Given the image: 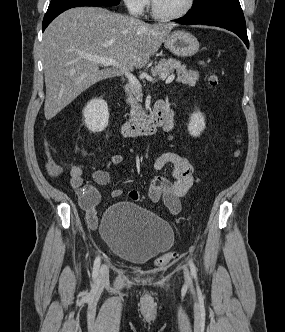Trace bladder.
Here are the masks:
<instances>
[{
    "label": "bladder",
    "instance_id": "bladder-1",
    "mask_svg": "<svg viewBox=\"0 0 285 332\" xmlns=\"http://www.w3.org/2000/svg\"><path fill=\"white\" fill-rule=\"evenodd\" d=\"M100 233L111 253L131 264L163 254L174 241L169 223L129 201L115 202L105 210Z\"/></svg>",
    "mask_w": 285,
    "mask_h": 332
}]
</instances>
